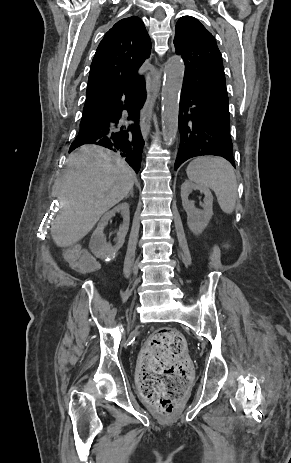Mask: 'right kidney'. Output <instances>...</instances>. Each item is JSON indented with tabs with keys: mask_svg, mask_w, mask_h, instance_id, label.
<instances>
[{
	"mask_svg": "<svg viewBox=\"0 0 291 463\" xmlns=\"http://www.w3.org/2000/svg\"><path fill=\"white\" fill-rule=\"evenodd\" d=\"M116 213H121L123 216V224L120 226L119 231L117 232L116 245L111 246V244L106 242L103 231L104 228L108 225V221ZM129 222L130 216L128 203H121L112 210L105 213L91 236L89 247L93 254L98 258H105L108 253L116 252L119 250L125 242V237L129 229Z\"/></svg>",
	"mask_w": 291,
	"mask_h": 463,
	"instance_id": "1",
	"label": "right kidney"
}]
</instances>
